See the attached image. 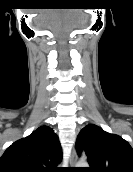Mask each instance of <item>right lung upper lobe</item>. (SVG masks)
<instances>
[{
    "label": "right lung upper lobe",
    "mask_w": 133,
    "mask_h": 172,
    "mask_svg": "<svg viewBox=\"0 0 133 172\" xmlns=\"http://www.w3.org/2000/svg\"><path fill=\"white\" fill-rule=\"evenodd\" d=\"M62 149L53 129L41 126L9 146L0 157V172H58Z\"/></svg>",
    "instance_id": "right-lung-upper-lobe-1"
}]
</instances>
